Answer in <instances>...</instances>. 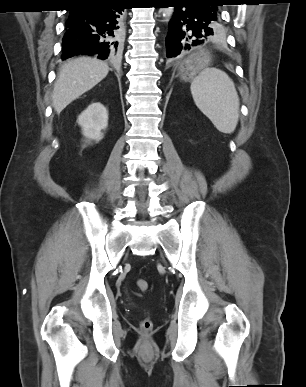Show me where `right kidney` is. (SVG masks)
<instances>
[{"mask_svg": "<svg viewBox=\"0 0 306 387\" xmlns=\"http://www.w3.org/2000/svg\"><path fill=\"white\" fill-rule=\"evenodd\" d=\"M77 122L87 141H100L102 131L108 126V111L101 103H92L78 116Z\"/></svg>", "mask_w": 306, "mask_h": 387, "instance_id": "ca27d5eb", "label": "right kidney"}]
</instances>
